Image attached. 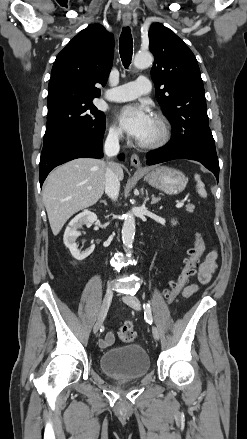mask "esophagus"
Returning a JSON list of instances; mask_svg holds the SVG:
<instances>
[{
  "label": "esophagus",
  "instance_id": "34e87169",
  "mask_svg": "<svg viewBox=\"0 0 247 439\" xmlns=\"http://www.w3.org/2000/svg\"><path fill=\"white\" fill-rule=\"evenodd\" d=\"M131 23V16L130 15H123V24L125 26H128ZM131 165L136 169H142V165L139 159V156L136 154H132L130 158Z\"/></svg>",
  "mask_w": 247,
  "mask_h": 439
}]
</instances>
